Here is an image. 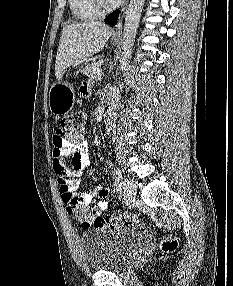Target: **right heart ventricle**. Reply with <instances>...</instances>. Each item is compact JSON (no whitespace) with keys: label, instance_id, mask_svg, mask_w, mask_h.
<instances>
[{"label":"right heart ventricle","instance_id":"obj_1","mask_svg":"<svg viewBox=\"0 0 233 286\" xmlns=\"http://www.w3.org/2000/svg\"><path fill=\"white\" fill-rule=\"evenodd\" d=\"M73 15L80 21L96 20L99 13L95 10L91 0H68Z\"/></svg>","mask_w":233,"mask_h":286}]
</instances>
